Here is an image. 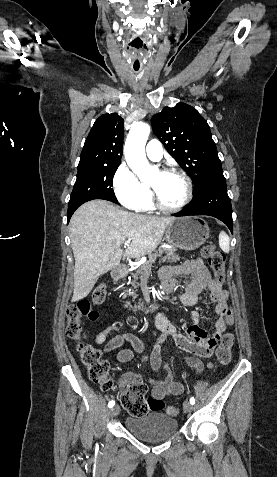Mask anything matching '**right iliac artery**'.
<instances>
[{
	"label": "right iliac artery",
	"instance_id": "82829eb1",
	"mask_svg": "<svg viewBox=\"0 0 277 477\" xmlns=\"http://www.w3.org/2000/svg\"><path fill=\"white\" fill-rule=\"evenodd\" d=\"M114 404H115V402H114V401H110V402L108 403V407H109V408H111V407H113V406H114Z\"/></svg>",
	"mask_w": 277,
	"mask_h": 477
}]
</instances>
